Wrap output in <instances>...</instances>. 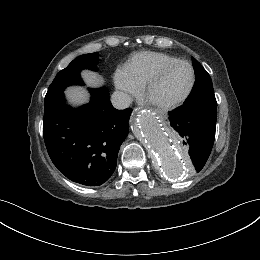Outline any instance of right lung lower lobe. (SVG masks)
<instances>
[{
    "instance_id": "obj_1",
    "label": "right lung lower lobe",
    "mask_w": 260,
    "mask_h": 260,
    "mask_svg": "<svg viewBox=\"0 0 260 260\" xmlns=\"http://www.w3.org/2000/svg\"><path fill=\"white\" fill-rule=\"evenodd\" d=\"M89 91L90 102L80 108L68 106L63 92L45 97L43 137L61 173L76 183L98 186L116 168L132 109H115L105 87Z\"/></svg>"
}]
</instances>
